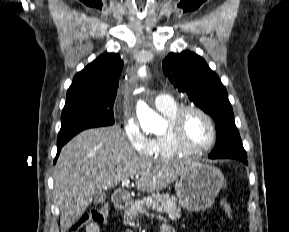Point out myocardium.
<instances>
[{
    "instance_id": "obj_1",
    "label": "myocardium",
    "mask_w": 289,
    "mask_h": 232,
    "mask_svg": "<svg viewBox=\"0 0 289 232\" xmlns=\"http://www.w3.org/2000/svg\"><path fill=\"white\" fill-rule=\"evenodd\" d=\"M189 112H197L201 116H203L208 122L211 130V137L209 141L202 146H192L190 145L184 136V119ZM169 133L176 143V145L182 150L190 153L197 154L204 152L211 148L216 141L217 138V130L216 125L212 117L201 107L196 105H187L180 107L175 113L174 117L169 122Z\"/></svg>"
}]
</instances>
